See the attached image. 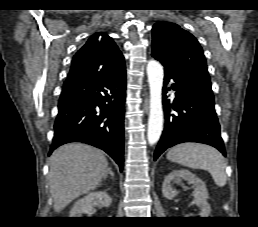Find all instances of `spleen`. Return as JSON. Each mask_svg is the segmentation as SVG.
<instances>
[{"label":"spleen","instance_id":"1","mask_svg":"<svg viewBox=\"0 0 258 227\" xmlns=\"http://www.w3.org/2000/svg\"><path fill=\"white\" fill-rule=\"evenodd\" d=\"M167 159L188 168L207 170L217 186L226 185L225 160L222 154L211 146L197 143L179 144L169 150Z\"/></svg>","mask_w":258,"mask_h":227}]
</instances>
